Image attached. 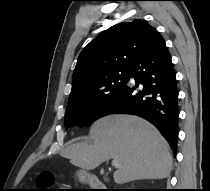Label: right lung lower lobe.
<instances>
[{
	"label": "right lung lower lobe",
	"instance_id": "98d812e1",
	"mask_svg": "<svg viewBox=\"0 0 210 191\" xmlns=\"http://www.w3.org/2000/svg\"><path fill=\"white\" fill-rule=\"evenodd\" d=\"M129 77L136 86L122 87L106 104L99 118L109 114H133L153 123L173 151L178 138V89L171 56L161 35L156 36L132 62ZM141 89H138V84Z\"/></svg>",
	"mask_w": 210,
	"mask_h": 191
}]
</instances>
